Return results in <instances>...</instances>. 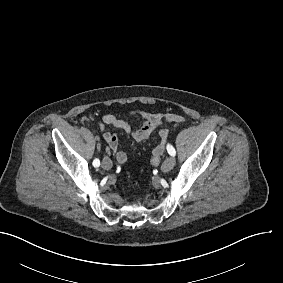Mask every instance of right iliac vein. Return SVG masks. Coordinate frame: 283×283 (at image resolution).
I'll return each mask as SVG.
<instances>
[{
	"mask_svg": "<svg viewBox=\"0 0 283 283\" xmlns=\"http://www.w3.org/2000/svg\"><path fill=\"white\" fill-rule=\"evenodd\" d=\"M101 166L105 170H109L112 168V162L108 157H104L101 163Z\"/></svg>",
	"mask_w": 283,
	"mask_h": 283,
	"instance_id": "63e3f726",
	"label": "right iliac vein"
}]
</instances>
